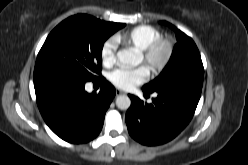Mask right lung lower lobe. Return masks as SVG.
<instances>
[{
    "instance_id": "1",
    "label": "right lung lower lobe",
    "mask_w": 248,
    "mask_h": 165,
    "mask_svg": "<svg viewBox=\"0 0 248 165\" xmlns=\"http://www.w3.org/2000/svg\"><path fill=\"white\" fill-rule=\"evenodd\" d=\"M86 82L65 74L34 80L43 119L57 136L70 143H86L100 133L116 93L104 77L93 81L101 85L99 93H87Z\"/></svg>"
}]
</instances>
